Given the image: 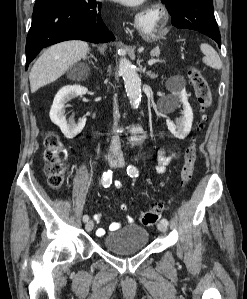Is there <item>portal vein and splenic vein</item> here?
Returning a JSON list of instances; mask_svg holds the SVG:
<instances>
[{"mask_svg":"<svg viewBox=\"0 0 247 299\" xmlns=\"http://www.w3.org/2000/svg\"><path fill=\"white\" fill-rule=\"evenodd\" d=\"M156 62H164V61L159 60V59H150V60L148 61V64H149V65H153V64H155Z\"/></svg>","mask_w":247,"mask_h":299,"instance_id":"1","label":"portal vein and splenic vein"}]
</instances>
